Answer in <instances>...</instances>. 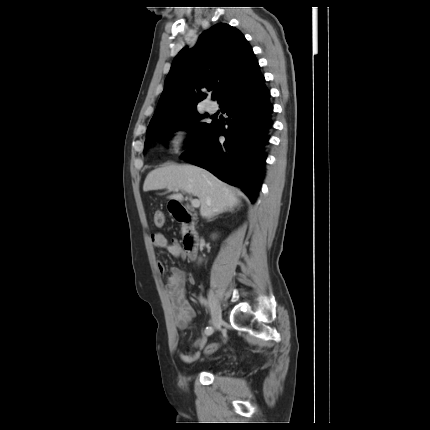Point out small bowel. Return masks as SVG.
Masks as SVG:
<instances>
[{
    "label": "small bowel",
    "mask_w": 430,
    "mask_h": 430,
    "mask_svg": "<svg viewBox=\"0 0 430 430\" xmlns=\"http://www.w3.org/2000/svg\"><path fill=\"white\" fill-rule=\"evenodd\" d=\"M152 244L160 249L166 250L173 257L181 258L185 255L184 250L177 240H168L162 233L154 232L151 234ZM158 269L163 271L164 265L159 262ZM169 276L166 281V291L172 308L173 321L179 329L187 328L194 316L195 310L187 298L186 284L195 283L194 276L191 273H185L178 267L172 266L169 269ZM208 335L205 330L195 339L189 352L179 353L184 362H194L199 359L202 350L206 351ZM213 353V352H212Z\"/></svg>",
    "instance_id": "small-bowel-1"
}]
</instances>
